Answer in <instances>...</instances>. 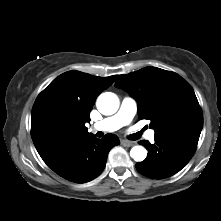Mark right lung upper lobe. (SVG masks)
I'll return each instance as SVG.
<instances>
[{"mask_svg":"<svg viewBox=\"0 0 221 221\" xmlns=\"http://www.w3.org/2000/svg\"><path fill=\"white\" fill-rule=\"evenodd\" d=\"M115 78L68 71L54 79L38 95L31 113V136L38 153L93 136L85 123L90 122L97 96Z\"/></svg>","mask_w":221,"mask_h":221,"instance_id":"obj_1","label":"right lung upper lobe"}]
</instances>
